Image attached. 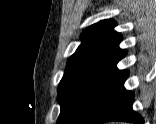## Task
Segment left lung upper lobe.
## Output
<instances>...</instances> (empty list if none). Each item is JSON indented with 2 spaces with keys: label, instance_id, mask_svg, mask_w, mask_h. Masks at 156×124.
<instances>
[{
  "label": "left lung upper lobe",
  "instance_id": "5c2ea615",
  "mask_svg": "<svg viewBox=\"0 0 156 124\" xmlns=\"http://www.w3.org/2000/svg\"><path fill=\"white\" fill-rule=\"evenodd\" d=\"M112 20L100 21L83 31V41L69 58L58 86L61 112L56 124H78L94 98L117 71L116 64L126 55L118 47L119 33Z\"/></svg>",
  "mask_w": 156,
  "mask_h": 124
}]
</instances>
